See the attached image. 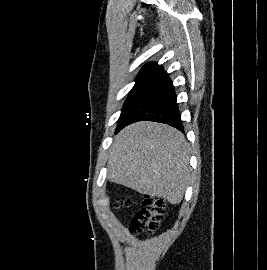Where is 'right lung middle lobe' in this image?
Here are the masks:
<instances>
[{
    "label": "right lung middle lobe",
    "mask_w": 267,
    "mask_h": 270,
    "mask_svg": "<svg viewBox=\"0 0 267 270\" xmlns=\"http://www.w3.org/2000/svg\"><path fill=\"white\" fill-rule=\"evenodd\" d=\"M154 78L155 76H146V77H139L136 79V83L129 92V95L123 105L116 129H118L124 123L126 114L138 101L141 95L148 89Z\"/></svg>",
    "instance_id": "dd1d6c3e"
}]
</instances>
